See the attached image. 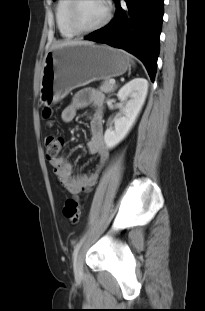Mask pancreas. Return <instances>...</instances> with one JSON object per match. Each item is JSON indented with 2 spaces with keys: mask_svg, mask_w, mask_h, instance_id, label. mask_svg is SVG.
Returning <instances> with one entry per match:
<instances>
[{
  "mask_svg": "<svg viewBox=\"0 0 205 311\" xmlns=\"http://www.w3.org/2000/svg\"><path fill=\"white\" fill-rule=\"evenodd\" d=\"M115 88H116V85L111 84L109 79H105V81L99 87L100 91L104 93H111L115 90Z\"/></svg>",
  "mask_w": 205,
  "mask_h": 311,
  "instance_id": "obj_1",
  "label": "pancreas"
}]
</instances>
